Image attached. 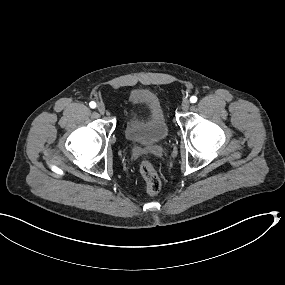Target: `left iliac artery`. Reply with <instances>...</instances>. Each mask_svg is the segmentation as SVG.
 Wrapping results in <instances>:
<instances>
[{"label":"left iliac artery","instance_id":"obj_1","mask_svg":"<svg viewBox=\"0 0 285 285\" xmlns=\"http://www.w3.org/2000/svg\"><path fill=\"white\" fill-rule=\"evenodd\" d=\"M197 101V97L196 96H192L191 98H190V102L191 103H195Z\"/></svg>","mask_w":285,"mask_h":285}]
</instances>
